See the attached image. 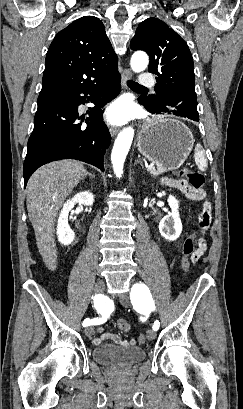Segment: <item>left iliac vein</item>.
I'll list each match as a JSON object with an SVG mask.
<instances>
[{
	"label": "left iliac vein",
	"instance_id": "1",
	"mask_svg": "<svg viewBox=\"0 0 243 409\" xmlns=\"http://www.w3.org/2000/svg\"><path fill=\"white\" fill-rule=\"evenodd\" d=\"M120 302L124 306H129L130 305L129 296L128 295L121 296ZM146 335L149 340H153L156 338V331L154 329H148Z\"/></svg>",
	"mask_w": 243,
	"mask_h": 409
}]
</instances>
